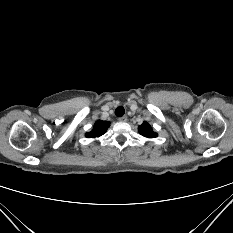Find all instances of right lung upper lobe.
I'll return each mask as SVG.
<instances>
[{
    "instance_id": "right-lung-upper-lobe-1",
    "label": "right lung upper lobe",
    "mask_w": 233,
    "mask_h": 233,
    "mask_svg": "<svg viewBox=\"0 0 233 233\" xmlns=\"http://www.w3.org/2000/svg\"><path fill=\"white\" fill-rule=\"evenodd\" d=\"M109 125H110V122L98 120V121L95 122L92 131L86 133L85 136L87 138L99 137V136L103 135L107 131Z\"/></svg>"
}]
</instances>
